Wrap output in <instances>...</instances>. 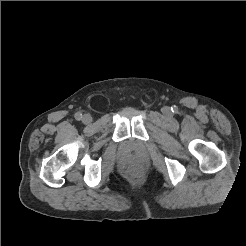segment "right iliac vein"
Masks as SVG:
<instances>
[{"mask_svg":"<svg viewBox=\"0 0 246 246\" xmlns=\"http://www.w3.org/2000/svg\"><path fill=\"white\" fill-rule=\"evenodd\" d=\"M92 121V117L89 114H84L82 117V122L84 124H89Z\"/></svg>","mask_w":246,"mask_h":246,"instance_id":"obj_1","label":"right iliac vein"}]
</instances>
